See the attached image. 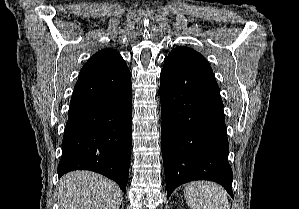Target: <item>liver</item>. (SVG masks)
<instances>
[{
  "mask_svg": "<svg viewBox=\"0 0 299 209\" xmlns=\"http://www.w3.org/2000/svg\"><path fill=\"white\" fill-rule=\"evenodd\" d=\"M60 209H119L123 195L119 186L89 171H74L59 182Z\"/></svg>",
  "mask_w": 299,
  "mask_h": 209,
  "instance_id": "obj_1",
  "label": "liver"
}]
</instances>
